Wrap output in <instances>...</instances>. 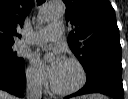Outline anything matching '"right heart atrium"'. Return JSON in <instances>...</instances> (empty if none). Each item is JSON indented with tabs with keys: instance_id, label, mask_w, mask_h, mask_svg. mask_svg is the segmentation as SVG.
Returning <instances> with one entry per match:
<instances>
[{
	"instance_id": "d8ad5b80",
	"label": "right heart atrium",
	"mask_w": 128,
	"mask_h": 99,
	"mask_svg": "<svg viewBox=\"0 0 128 99\" xmlns=\"http://www.w3.org/2000/svg\"><path fill=\"white\" fill-rule=\"evenodd\" d=\"M25 76L28 85L33 88H40L45 83L42 73L33 65H29L26 68Z\"/></svg>"
}]
</instances>
